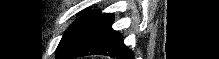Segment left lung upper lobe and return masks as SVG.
<instances>
[{
  "label": "left lung upper lobe",
  "instance_id": "5c2ea615",
  "mask_svg": "<svg viewBox=\"0 0 219 59\" xmlns=\"http://www.w3.org/2000/svg\"><path fill=\"white\" fill-rule=\"evenodd\" d=\"M98 10L86 9L66 30L56 50V59H66L93 31L102 17Z\"/></svg>",
  "mask_w": 219,
  "mask_h": 59
}]
</instances>
